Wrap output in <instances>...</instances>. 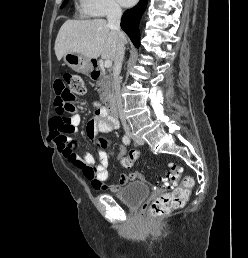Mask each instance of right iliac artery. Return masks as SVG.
Listing matches in <instances>:
<instances>
[{"instance_id":"obj_1","label":"right iliac artery","mask_w":248,"mask_h":258,"mask_svg":"<svg viewBox=\"0 0 248 258\" xmlns=\"http://www.w3.org/2000/svg\"><path fill=\"white\" fill-rule=\"evenodd\" d=\"M122 141H123V143H124L125 145H129V143H130V139H129V137L126 136V135L123 137Z\"/></svg>"}]
</instances>
